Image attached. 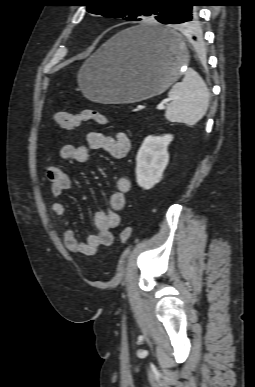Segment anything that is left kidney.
<instances>
[{
  "instance_id": "left-kidney-1",
  "label": "left kidney",
  "mask_w": 255,
  "mask_h": 387,
  "mask_svg": "<svg viewBox=\"0 0 255 387\" xmlns=\"http://www.w3.org/2000/svg\"><path fill=\"white\" fill-rule=\"evenodd\" d=\"M173 136H147L136 157V181L146 190L151 189L162 178L168 165L169 154L167 151Z\"/></svg>"
}]
</instances>
